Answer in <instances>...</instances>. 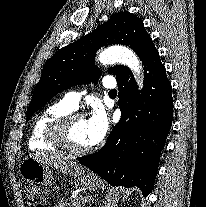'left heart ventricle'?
Here are the masks:
<instances>
[{
  "label": "left heart ventricle",
  "instance_id": "left-heart-ventricle-1",
  "mask_svg": "<svg viewBox=\"0 0 206 207\" xmlns=\"http://www.w3.org/2000/svg\"><path fill=\"white\" fill-rule=\"evenodd\" d=\"M67 137L70 145L76 149L90 147L87 134V121L76 120L67 130Z\"/></svg>",
  "mask_w": 206,
  "mask_h": 207
}]
</instances>
